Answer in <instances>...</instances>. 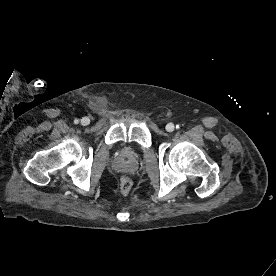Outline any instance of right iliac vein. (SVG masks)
I'll return each instance as SVG.
<instances>
[{
  "instance_id": "1",
  "label": "right iliac vein",
  "mask_w": 276,
  "mask_h": 276,
  "mask_svg": "<svg viewBox=\"0 0 276 276\" xmlns=\"http://www.w3.org/2000/svg\"><path fill=\"white\" fill-rule=\"evenodd\" d=\"M80 123L83 125V126H87L89 123H90V119L88 117H83L80 121Z\"/></svg>"
}]
</instances>
